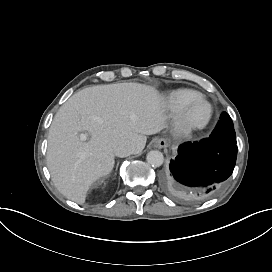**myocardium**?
<instances>
[{
    "label": "myocardium",
    "instance_id": "myocardium-1",
    "mask_svg": "<svg viewBox=\"0 0 272 272\" xmlns=\"http://www.w3.org/2000/svg\"><path fill=\"white\" fill-rule=\"evenodd\" d=\"M197 99L199 100H203L207 103L208 107H209V117L207 119V121L203 124H192V123H189L186 119V109L191 105L193 104ZM179 109L181 110V116H180V119H182V121H184L188 127V130L190 131H200V130H204L206 129L210 124L211 122L213 121L214 119V114H215V111H214V107L212 105V103L206 98L204 97L203 95L199 94L197 95L196 97H193L191 99H188L184 102H182L179 106ZM179 119L177 121V123H179Z\"/></svg>",
    "mask_w": 272,
    "mask_h": 272
}]
</instances>
